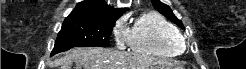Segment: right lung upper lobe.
I'll return each mask as SVG.
<instances>
[{"mask_svg": "<svg viewBox=\"0 0 246 69\" xmlns=\"http://www.w3.org/2000/svg\"><path fill=\"white\" fill-rule=\"evenodd\" d=\"M128 9H115L104 0H85L77 4L65 20L116 21Z\"/></svg>", "mask_w": 246, "mask_h": 69, "instance_id": "obj_1", "label": "right lung upper lobe"}]
</instances>
